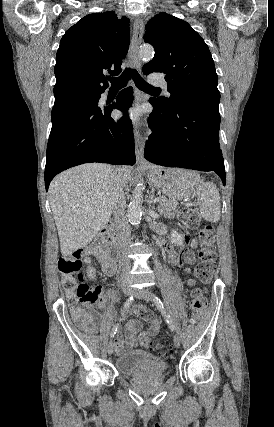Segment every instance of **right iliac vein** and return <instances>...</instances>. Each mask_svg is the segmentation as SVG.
<instances>
[{"label":"right iliac vein","mask_w":274,"mask_h":427,"mask_svg":"<svg viewBox=\"0 0 274 427\" xmlns=\"http://www.w3.org/2000/svg\"><path fill=\"white\" fill-rule=\"evenodd\" d=\"M121 289L125 295H130L132 293V289L128 285L126 281H122ZM114 351V344L113 341H110L108 345V354L111 356Z\"/></svg>","instance_id":"obj_1"}]
</instances>
